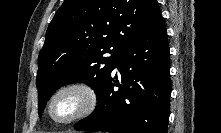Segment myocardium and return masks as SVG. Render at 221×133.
I'll use <instances>...</instances> for the list:
<instances>
[{"label": "myocardium", "mask_w": 221, "mask_h": 133, "mask_svg": "<svg viewBox=\"0 0 221 133\" xmlns=\"http://www.w3.org/2000/svg\"><path fill=\"white\" fill-rule=\"evenodd\" d=\"M66 94H73L77 96L79 104L69 116L56 118L52 113L53 105L59 97ZM97 103L98 94L96 89L85 81L75 80L62 84L53 91L46 103L45 112L48 119L54 124L67 125L91 115L96 109Z\"/></svg>", "instance_id": "obj_1"}]
</instances>
